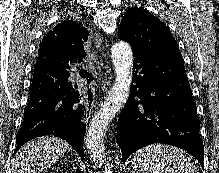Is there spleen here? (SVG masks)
Wrapping results in <instances>:
<instances>
[{"label":"spleen","instance_id":"spleen-1","mask_svg":"<svg viewBox=\"0 0 219 173\" xmlns=\"http://www.w3.org/2000/svg\"><path fill=\"white\" fill-rule=\"evenodd\" d=\"M136 173H198L183 150L162 144H152L133 154Z\"/></svg>","mask_w":219,"mask_h":173}]
</instances>
